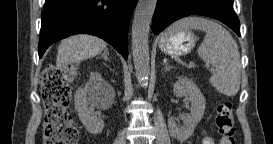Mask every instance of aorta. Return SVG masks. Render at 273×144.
Masks as SVG:
<instances>
[{"label":"aorta","mask_w":273,"mask_h":144,"mask_svg":"<svg viewBox=\"0 0 273 144\" xmlns=\"http://www.w3.org/2000/svg\"><path fill=\"white\" fill-rule=\"evenodd\" d=\"M157 0H139L132 24V54L136 76L146 82L150 71L148 35Z\"/></svg>","instance_id":"aorta-1"}]
</instances>
